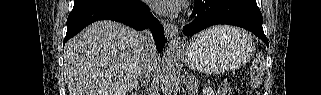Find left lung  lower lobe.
<instances>
[{
  "instance_id": "1",
  "label": "left lung lower lobe",
  "mask_w": 321,
  "mask_h": 95,
  "mask_svg": "<svg viewBox=\"0 0 321 95\" xmlns=\"http://www.w3.org/2000/svg\"><path fill=\"white\" fill-rule=\"evenodd\" d=\"M195 19L183 28L186 37L218 24L245 28L269 46L262 28V15L256 0H195Z\"/></svg>"
}]
</instances>
